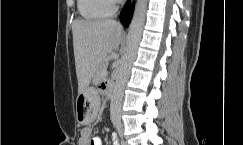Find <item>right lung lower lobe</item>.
<instances>
[{
    "instance_id": "1",
    "label": "right lung lower lobe",
    "mask_w": 243,
    "mask_h": 145,
    "mask_svg": "<svg viewBox=\"0 0 243 145\" xmlns=\"http://www.w3.org/2000/svg\"><path fill=\"white\" fill-rule=\"evenodd\" d=\"M132 8L133 5H131V0H127L120 14V20L124 26H128V23L130 22L131 15H132Z\"/></svg>"
}]
</instances>
